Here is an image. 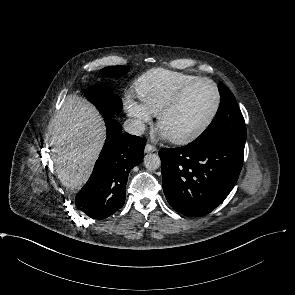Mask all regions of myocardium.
Listing matches in <instances>:
<instances>
[{"label":"myocardium","mask_w":295,"mask_h":295,"mask_svg":"<svg viewBox=\"0 0 295 295\" xmlns=\"http://www.w3.org/2000/svg\"><path fill=\"white\" fill-rule=\"evenodd\" d=\"M202 82H206L214 88L215 93H216L215 108H214L211 116L209 117V119L205 122V124L202 125L194 133H192L186 137H182V138H170V141L174 144L187 145V144H190V143L196 141L197 139H199L201 136H203L210 129V127L213 125V123L215 122V120L218 117V114L221 109V104H222L221 91H220L218 85L216 84V82H214L212 79L206 78V77H199V78L193 80L192 82L188 83L187 85H185L183 88H181L174 95V97L161 109V111L158 114V121H157L158 127L161 129V126H162V123H163L165 117L167 115H169L171 112H173L180 105V103L182 102L184 97L188 94V92L192 88H194L197 84L202 83Z\"/></svg>","instance_id":"myocardium-1"}]
</instances>
